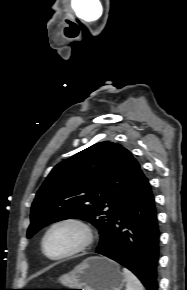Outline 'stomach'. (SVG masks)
I'll return each mask as SVG.
<instances>
[{
  "instance_id": "obj_1",
  "label": "stomach",
  "mask_w": 187,
  "mask_h": 290,
  "mask_svg": "<svg viewBox=\"0 0 187 290\" xmlns=\"http://www.w3.org/2000/svg\"><path fill=\"white\" fill-rule=\"evenodd\" d=\"M59 282L69 289L121 290L126 278L114 261L103 256H92L62 275Z\"/></svg>"
}]
</instances>
